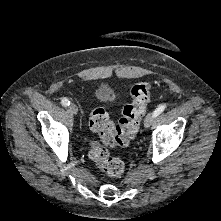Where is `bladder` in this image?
I'll list each match as a JSON object with an SVG mask.
<instances>
[{"label":"bladder","mask_w":221,"mask_h":221,"mask_svg":"<svg viewBox=\"0 0 221 221\" xmlns=\"http://www.w3.org/2000/svg\"><path fill=\"white\" fill-rule=\"evenodd\" d=\"M110 93H112V89L107 85L99 86L95 90V95L99 100L105 99Z\"/></svg>","instance_id":"1"}]
</instances>
